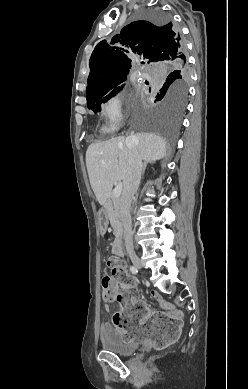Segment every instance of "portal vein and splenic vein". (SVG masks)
<instances>
[{
    "instance_id": "1",
    "label": "portal vein and splenic vein",
    "mask_w": 248,
    "mask_h": 389,
    "mask_svg": "<svg viewBox=\"0 0 248 389\" xmlns=\"http://www.w3.org/2000/svg\"><path fill=\"white\" fill-rule=\"evenodd\" d=\"M122 183L120 182L113 190V195L115 198H119L122 192Z\"/></svg>"
}]
</instances>
